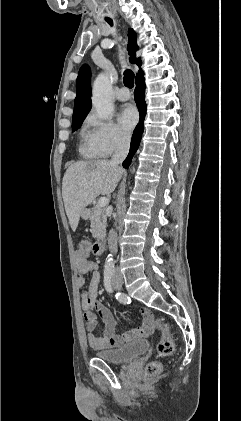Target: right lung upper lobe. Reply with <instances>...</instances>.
<instances>
[{
	"label": "right lung upper lobe",
	"mask_w": 241,
	"mask_h": 421,
	"mask_svg": "<svg viewBox=\"0 0 241 421\" xmlns=\"http://www.w3.org/2000/svg\"><path fill=\"white\" fill-rule=\"evenodd\" d=\"M128 36V54L130 55L129 60L132 64L136 63L140 67L141 61L135 57L136 51L138 49L136 43V33L130 29ZM90 109V69L88 66L83 65L79 70V74L76 81V98L74 102L73 118L86 116L89 113Z\"/></svg>",
	"instance_id": "cb5924a9"
}]
</instances>
